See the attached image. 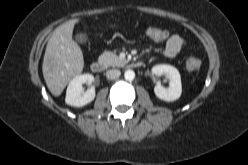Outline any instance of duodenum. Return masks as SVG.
I'll use <instances>...</instances> for the list:
<instances>
[{
  "mask_svg": "<svg viewBox=\"0 0 248 165\" xmlns=\"http://www.w3.org/2000/svg\"><path fill=\"white\" fill-rule=\"evenodd\" d=\"M132 66L136 68L141 67L142 62L140 61L133 62ZM90 68L95 73H101L105 69V63L102 60H94L91 63Z\"/></svg>",
  "mask_w": 248,
  "mask_h": 165,
  "instance_id": "410a0bca",
  "label": "duodenum"
}]
</instances>
